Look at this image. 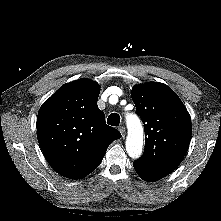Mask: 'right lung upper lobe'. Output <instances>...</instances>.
Segmentation results:
<instances>
[{
	"label": "right lung upper lobe",
	"instance_id": "1",
	"mask_svg": "<svg viewBox=\"0 0 221 221\" xmlns=\"http://www.w3.org/2000/svg\"><path fill=\"white\" fill-rule=\"evenodd\" d=\"M98 83L80 79L61 86L40 108L37 138L60 175L81 179L94 171L112 141L121 138L97 106Z\"/></svg>",
	"mask_w": 221,
	"mask_h": 221
}]
</instances>
